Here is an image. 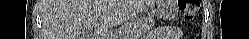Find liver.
Instances as JSON below:
<instances>
[{"instance_id": "liver-1", "label": "liver", "mask_w": 249, "mask_h": 39, "mask_svg": "<svg viewBox=\"0 0 249 39\" xmlns=\"http://www.w3.org/2000/svg\"><path fill=\"white\" fill-rule=\"evenodd\" d=\"M155 0H45L42 24L47 39H100L108 29L154 4ZM94 28V35H87ZM93 37V38H87Z\"/></svg>"}]
</instances>
